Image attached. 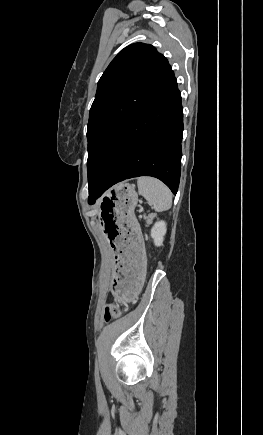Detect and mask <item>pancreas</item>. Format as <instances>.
<instances>
[{
	"label": "pancreas",
	"instance_id": "1",
	"mask_svg": "<svg viewBox=\"0 0 263 435\" xmlns=\"http://www.w3.org/2000/svg\"><path fill=\"white\" fill-rule=\"evenodd\" d=\"M149 217H147L146 215H144V219L148 220Z\"/></svg>",
	"mask_w": 263,
	"mask_h": 435
}]
</instances>
